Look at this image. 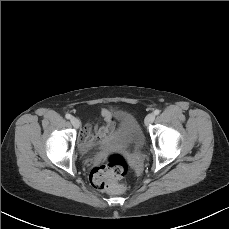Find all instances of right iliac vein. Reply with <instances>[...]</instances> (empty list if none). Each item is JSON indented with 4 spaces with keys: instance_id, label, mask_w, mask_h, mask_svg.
<instances>
[{
    "instance_id": "right-iliac-vein-1",
    "label": "right iliac vein",
    "mask_w": 229,
    "mask_h": 229,
    "mask_svg": "<svg viewBox=\"0 0 229 229\" xmlns=\"http://www.w3.org/2000/svg\"><path fill=\"white\" fill-rule=\"evenodd\" d=\"M71 123H72V125H73L75 128H79V126H80V121H79V119L76 118V117H72V118H71Z\"/></svg>"
}]
</instances>
